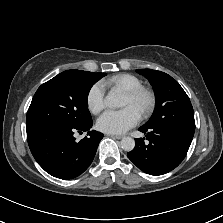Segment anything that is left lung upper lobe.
Instances as JSON below:
<instances>
[{
	"label": "left lung upper lobe",
	"instance_id": "obj_1",
	"mask_svg": "<svg viewBox=\"0 0 223 223\" xmlns=\"http://www.w3.org/2000/svg\"><path fill=\"white\" fill-rule=\"evenodd\" d=\"M153 86L156 107L143 126H173L195 131L193 107L180 84L170 75L151 69H137Z\"/></svg>",
	"mask_w": 223,
	"mask_h": 223
}]
</instances>
